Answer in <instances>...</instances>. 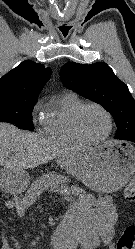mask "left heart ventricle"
<instances>
[{
  "label": "left heart ventricle",
  "mask_w": 135,
  "mask_h": 249,
  "mask_svg": "<svg viewBox=\"0 0 135 249\" xmlns=\"http://www.w3.org/2000/svg\"><path fill=\"white\" fill-rule=\"evenodd\" d=\"M80 127L88 138L99 139L106 134L108 121L100 110L90 107L83 112L80 118Z\"/></svg>",
  "instance_id": "obj_1"
}]
</instances>
